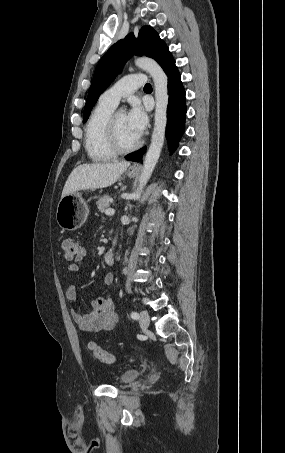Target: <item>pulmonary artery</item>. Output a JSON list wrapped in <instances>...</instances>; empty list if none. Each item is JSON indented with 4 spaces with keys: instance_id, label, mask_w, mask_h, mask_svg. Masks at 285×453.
<instances>
[{
    "instance_id": "obj_1",
    "label": "pulmonary artery",
    "mask_w": 285,
    "mask_h": 453,
    "mask_svg": "<svg viewBox=\"0 0 285 453\" xmlns=\"http://www.w3.org/2000/svg\"><path fill=\"white\" fill-rule=\"evenodd\" d=\"M145 83L146 76L144 74L134 73L126 75L107 89L102 94L101 99L116 107L123 97L130 95Z\"/></svg>"
}]
</instances>
